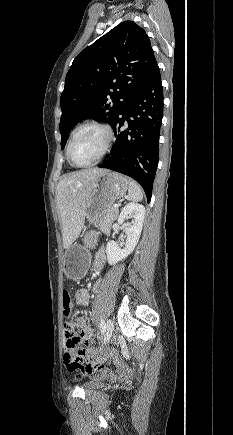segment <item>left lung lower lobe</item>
Instances as JSON below:
<instances>
[{
    "label": "left lung lower lobe",
    "mask_w": 233,
    "mask_h": 435,
    "mask_svg": "<svg viewBox=\"0 0 233 435\" xmlns=\"http://www.w3.org/2000/svg\"><path fill=\"white\" fill-rule=\"evenodd\" d=\"M163 105L160 70L156 65L113 124L115 144L108 159L98 166L135 179L143 187L148 202L158 165ZM125 122L127 129L122 130Z\"/></svg>",
    "instance_id": "left-lung-lower-lobe-1"
}]
</instances>
